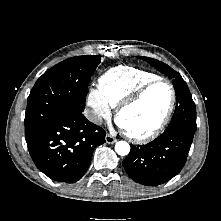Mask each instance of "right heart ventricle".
<instances>
[{"instance_id": "e07e8e85", "label": "right heart ventricle", "mask_w": 221, "mask_h": 221, "mask_svg": "<svg viewBox=\"0 0 221 221\" xmlns=\"http://www.w3.org/2000/svg\"><path fill=\"white\" fill-rule=\"evenodd\" d=\"M158 76L149 71L121 65L110 68L98 79V91L110 107H116L144 83Z\"/></svg>"}]
</instances>
